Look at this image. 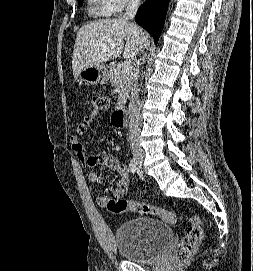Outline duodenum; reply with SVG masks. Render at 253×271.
<instances>
[{"label": "duodenum", "mask_w": 253, "mask_h": 271, "mask_svg": "<svg viewBox=\"0 0 253 271\" xmlns=\"http://www.w3.org/2000/svg\"><path fill=\"white\" fill-rule=\"evenodd\" d=\"M113 124L117 128H123L126 125V110L124 108H117L112 115Z\"/></svg>", "instance_id": "obj_1"}]
</instances>
